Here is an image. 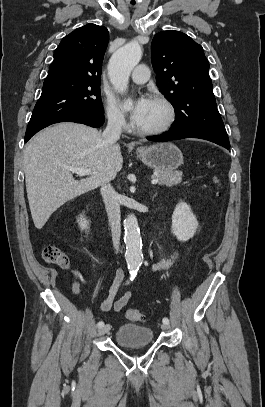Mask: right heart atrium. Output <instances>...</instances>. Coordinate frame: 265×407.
I'll return each instance as SVG.
<instances>
[{
	"instance_id": "obj_1",
	"label": "right heart atrium",
	"mask_w": 265,
	"mask_h": 407,
	"mask_svg": "<svg viewBox=\"0 0 265 407\" xmlns=\"http://www.w3.org/2000/svg\"><path fill=\"white\" fill-rule=\"evenodd\" d=\"M104 112L110 126L119 130H124L128 127V121L125 114L114 99L108 95L104 97Z\"/></svg>"
}]
</instances>
